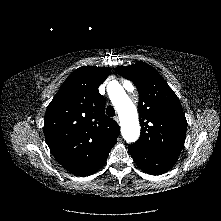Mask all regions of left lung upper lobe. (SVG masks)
I'll list each match as a JSON object with an SVG mask.
<instances>
[{"label": "left lung upper lobe", "mask_w": 221, "mask_h": 221, "mask_svg": "<svg viewBox=\"0 0 221 221\" xmlns=\"http://www.w3.org/2000/svg\"><path fill=\"white\" fill-rule=\"evenodd\" d=\"M117 71L131 80L139 92L141 136L136 143L155 153L177 158L185 142L187 121L174 91L147 63L117 67Z\"/></svg>", "instance_id": "left-lung-upper-lobe-1"}]
</instances>
